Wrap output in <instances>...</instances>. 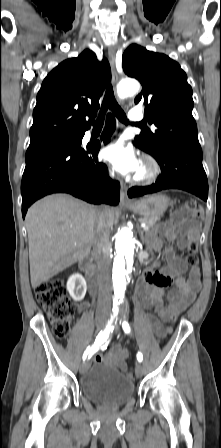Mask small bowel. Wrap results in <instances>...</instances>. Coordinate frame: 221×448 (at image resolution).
Returning a JSON list of instances; mask_svg holds the SVG:
<instances>
[{"instance_id":"c3829d8e","label":"small bowel","mask_w":221,"mask_h":448,"mask_svg":"<svg viewBox=\"0 0 221 448\" xmlns=\"http://www.w3.org/2000/svg\"><path fill=\"white\" fill-rule=\"evenodd\" d=\"M197 238L198 231L195 227L178 226L173 221H168L148 239L150 248L154 252H159L165 247L168 262L167 266L160 271L147 270L143 280L137 285L141 296V308L153 309L158 316L157 318L146 315V319L160 339H164L172 332V328L163 325L162 322L176 319L195 300L201 288V275L198 266H189L175 252L176 249L184 250L190 242ZM184 274H187V278ZM171 284H174L175 288L167 292L166 289ZM86 305L87 303H83L82 308ZM127 358L128 352L115 345L105 356L96 354L94 361L98 363L107 361L124 371L127 367Z\"/></svg>"}]
</instances>
